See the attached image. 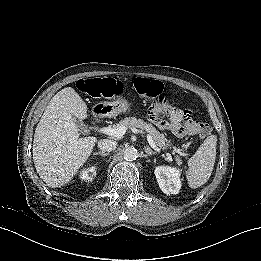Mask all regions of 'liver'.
I'll return each instance as SVG.
<instances>
[{
  "mask_svg": "<svg viewBox=\"0 0 261 261\" xmlns=\"http://www.w3.org/2000/svg\"><path fill=\"white\" fill-rule=\"evenodd\" d=\"M87 105L72 88L49 102L33 141V160L41 179L54 188L66 184L91 155L97 138H80L77 121L87 118Z\"/></svg>",
  "mask_w": 261,
  "mask_h": 261,
  "instance_id": "6515ba94",
  "label": "liver"
}]
</instances>
